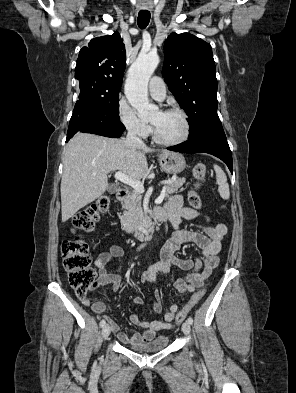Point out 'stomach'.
I'll return each mask as SVG.
<instances>
[{"label": "stomach", "mask_w": 296, "mask_h": 393, "mask_svg": "<svg viewBox=\"0 0 296 393\" xmlns=\"http://www.w3.org/2000/svg\"><path fill=\"white\" fill-rule=\"evenodd\" d=\"M159 164L161 169L168 174L181 173L186 167L184 156L175 152H163L160 154Z\"/></svg>", "instance_id": "obj_1"}]
</instances>
